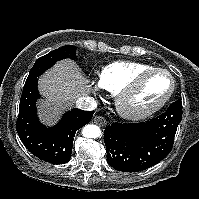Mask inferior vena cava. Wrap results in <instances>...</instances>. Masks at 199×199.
Listing matches in <instances>:
<instances>
[{
	"instance_id": "inferior-vena-cava-1",
	"label": "inferior vena cava",
	"mask_w": 199,
	"mask_h": 199,
	"mask_svg": "<svg viewBox=\"0 0 199 199\" xmlns=\"http://www.w3.org/2000/svg\"><path fill=\"white\" fill-rule=\"evenodd\" d=\"M76 107L81 110L91 111L95 110L97 107V102L93 97H82L76 101Z\"/></svg>"
}]
</instances>
